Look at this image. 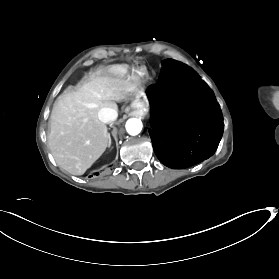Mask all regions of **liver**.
<instances>
[{
  "instance_id": "1",
  "label": "liver",
  "mask_w": 279,
  "mask_h": 279,
  "mask_svg": "<svg viewBox=\"0 0 279 279\" xmlns=\"http://www.w3.org/2000/svg\"><path fill=\"white\" fill-rule=\"evenodd\" d=\"M141 89L123 80L115 66L75 93L62 94L51 114L48 145L60 168L84 174L106 151L109 135L98 118L101 108H116L126 98L138 99Z\"/></svg>"
}]
</instances>
